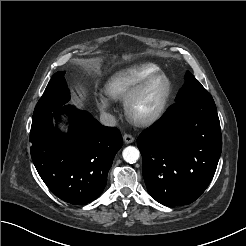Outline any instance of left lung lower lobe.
Returning a JSON list of instances; mask_svg holds the SVG:
<instances>
[{"label":"left lung lower lobe","instance_id":"0a47b994","mask_svg":"<svg viewBox=\"0 0 246 246\" xmlns=\"http://www.w3.org/2000/svg\"><path fill=\"white\" fill-rule=\"evenodd\" d=\"M137 145L149 194L167 206L192 203L210 184L222 150L212 96L207 92L176 102Z\"/></svg>","mask_w":246,"mask_h":246}]
</instances>
